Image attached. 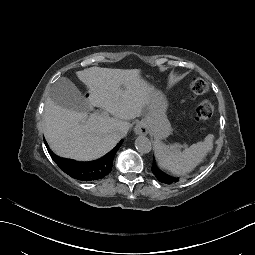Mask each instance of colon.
Wrapping results in <instances>:
<instances>
[{"label": "colon", "instance_id": "colon-1", "mask_svg": "<svg viewBox=\"0 0 255 255\" xmlns=\"http://www.w3.org/2000/svg\"><path fill=\"white\" fill-rule=\"evenodd\" d=\"M190 89L195 95H203L208 91V83L202 78H194L191 81ZM213 111L212 101L204 100L196 108V117L200 121H206L211 118Z\"/></svg>", "mask_w": 255, "mask_h": 255}]
</instances>
